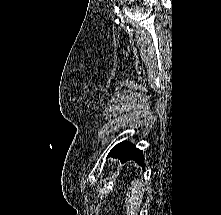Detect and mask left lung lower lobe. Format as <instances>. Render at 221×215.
Instances as JSON below:
<instances>
[{
  "label": "left lung lower lobe",
  "instance_id": "left-lung-lower-lobe-1",
  "mask_svg": "<svg viewBox=\"0 0 221 215\" xmlns=\"http://www.w3.org/2000/svg\"><path fill=\"white\" fill-rule=\"evenodd\" d=\"M109 156L120 159L122 163L129 160H134L144 168V157L142 152L127 141H123L113 147L109 153Z\"/></svg>",
  "mask_w": 221,
  "mask_h": 215
}]
</instances>
